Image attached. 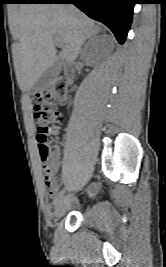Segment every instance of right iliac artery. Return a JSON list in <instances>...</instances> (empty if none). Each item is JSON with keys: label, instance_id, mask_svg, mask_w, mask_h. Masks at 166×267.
<instances>
[{"label": "right iliac artery", "instance_id": "obj_1", "mask_svg": "<svg viewBox=\"0 0 166 267\" xmlns=\"http://www.w3.org/2000/svg\"><path fill=\"white\" fill-rule=\"evenodd\" d=\"M64 193H65L64 190H62V191L59 192V194L56 196V198L53 201V204L54 205H57L62 200V198L64 196Z\"/></svg>", "mask_w": 166, "mask_h": 267}]
</instances>
